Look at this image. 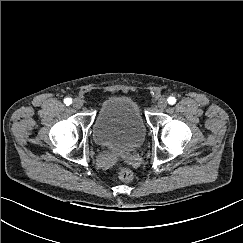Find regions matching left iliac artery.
<instances>
[{"mask_svg": "<svg viewBox=\"0 0 243 243\" xmlns=\"http://www.w3.org/2000/svg\"><path fill=\"white\" fill-rule=\"evenodd\" d=\"M167 101H168V103H169L170 105H173V104H175L176 99H175V97H169Z\"/></svg>", "mask_w": 243, "mask_h": 243, "instance_id": "1", "label": "left iliac artery"}]
</instances>
